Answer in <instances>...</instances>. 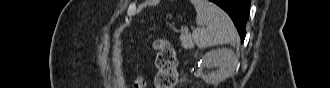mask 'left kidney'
Listing matches in <instances>:
<instances>
[{"label":"left kidney","instance_id":"5707ae66","mask_svg":"<svg viewBox=\"0 0 330 88\" xmlns=\"http://www.w3.org/2000/svg\"><path fill=\"white\" fill-rule=\"evenodd\" d=\"M236 65V57L231 49H215L202 57L201 66L208 68L215 67L217 70L212 71L208 75L198 72L197 76L201 77L206 83L218 85L233 73Z\"/></svg>","mask_w":330,"mask_h":88}]
</instances>
